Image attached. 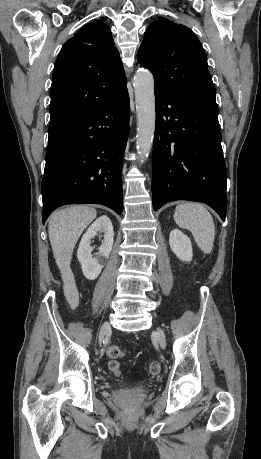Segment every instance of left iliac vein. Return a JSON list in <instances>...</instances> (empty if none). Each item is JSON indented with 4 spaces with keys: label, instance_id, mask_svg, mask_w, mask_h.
<instances>
[{
    "label": "left iliac vein",
    "instance_id": "left-iliac-vein-1",
    "mask_svg": "<svg viewBox=\"0 0 261 459\" xmlns=\"http://www.w3.org/2000/svg\"><path fill=\"white\" fill-rule=\"evenodd\" d=\"M156 334H157L158 341H159V344H160L161 348L165 349V347H166V339H165V334H164L163 330L161 328H158Z\"/></svg>",
    "mask_w": 261,
    "mask_h": 459
}]
</instances>
